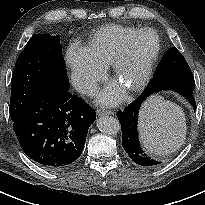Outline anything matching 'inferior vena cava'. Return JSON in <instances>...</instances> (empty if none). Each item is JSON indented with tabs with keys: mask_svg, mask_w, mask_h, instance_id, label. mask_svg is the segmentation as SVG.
<instances>
[{
	"mask_svg": "<svg viewBox=\"0 0 205 205\" xmlns=\"http://www.w3.org/2000/svg\"><path fill=\"white\" fill-rule=\"evenodd\" d=\"M74 87L78 92L87 95H94L98 89L97 84L92 81H77Z\"/></svg>",
	"mask_w": 205,
	"mask_h": 205,
	"instance_id": "1",
	"label": "inferior vena cava"
}]
</instances>
